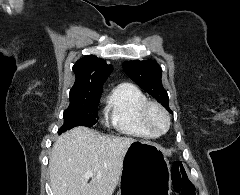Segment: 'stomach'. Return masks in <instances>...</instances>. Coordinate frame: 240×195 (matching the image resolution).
<instances>
[{
	"label": "stomach",
	"mask_w": 240,
	"mask_h": 195,
	"mask_svg": "<svg viewBox=\"0 0 240 195\" xmlns=\"http://www.w3.org/2000/svg\"><path fill=\"white\" fill-rule=\"evenodd\" d=\"M170 165L161 145L137 139L126 149L118 195H170Z\"/></svg>",
	"instance_id": "obj_1"
}]
</instances>
